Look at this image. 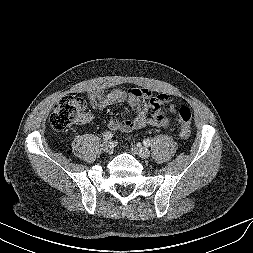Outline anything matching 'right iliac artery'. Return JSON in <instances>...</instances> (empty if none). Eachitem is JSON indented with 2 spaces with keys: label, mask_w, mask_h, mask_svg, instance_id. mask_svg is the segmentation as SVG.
I'll use <instances>...</instances> for the list:
<instances>
[{
  "label": "right iliac artery",
  "mask_w": 253,
  "mask_h": 253,
  "mask_svg": "<svg viewBox=\"0 0 253 253\" xmlns=\"http://www.w3.org/2000/svg\"><path fill=\"white\" fill-rule=\"evenodd\" d=\"M113 137V134H112V132H110V131H107V132H105L104 134H103V139L104 140H109V139H111Z\"/></svg>",
  "instance_id": "1"
}]
</instances>
